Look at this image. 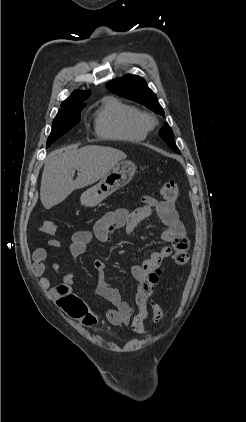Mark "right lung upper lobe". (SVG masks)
<instances>
[{
  "label": "right lung upper lobe",
  "mask_w": 246,
  "mask_h": 422,
  "mask_svg": "<svg viewBox=\"0 0 246 422\" xmlns=\"http://www.w3.org/2000/svg\"><path fill=\"white\" fill-rule=\"evenodd\" d=\"M90 95V91H74L72 95L66 99L61 107H69V106H76V105H86L83 103Z\"/></svg>",
  "instance_id": "right-lung-upper-lobe-1"
}]
</instances>
